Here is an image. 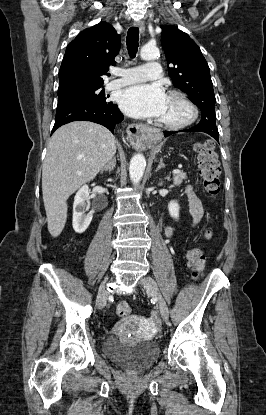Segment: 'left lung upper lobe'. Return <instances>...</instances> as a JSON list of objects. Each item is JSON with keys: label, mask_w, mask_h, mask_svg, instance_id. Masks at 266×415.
Wrapping results in <instances>:
<instances>
[{"label": "left lung upper lobe", "mask_w": 266, "mask_h": 415, "mask_svg": "<svg viewBox=\"0 0 266 415\" xmlns=\"http://www.w3.org/2000/svg\"><path fill=\"white\" fill-rule=\"evenodd\" d=\"M161 44L166 55L169 76L175 87L190 96L201 110L194 131L219 136L214 105L216 102L209 66L199 46L176 26H161Z\"/></svg>", "instance_id": "1"}]
</instances>
